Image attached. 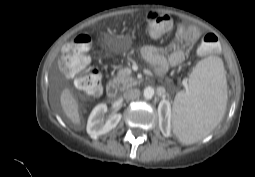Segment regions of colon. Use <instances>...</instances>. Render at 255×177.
I'll return each instance as SVG.
<instances>
[{
    "instance_id": "obj_1",
    "label": "colon",
    "mask_w": 255,
    "mask_h": 177,
    "mask_svg": "<svg viewBox=\"0 0 255 177\" xmlns=\"http://www.w3.org/2000/svg\"><path fill=\"white\" fill-rule=\"evenodd\" d=\"M147 33L152 38H159L168 32L173 25V18L159 11H148L145 15ZM218 38L214 34H207L201 41L200 51L215 50ZM91 39L81 34L67 42L63 47L59 61L61 71L68 77L74 78L75 86L88 96L94 97L101 91V75L97 68L91 66L88 51Z\"/></svg>"
}]
</instances>
